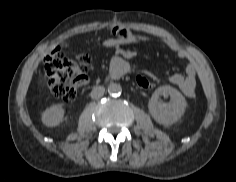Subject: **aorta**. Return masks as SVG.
Segmentation results:
<instances>
[{
	"label": "aorta",
	"mask_w": 236,
	"mask_h": 182,
	"mask_svg": "<svg viewBox=\"0 0 236 182\" xmlns=\"http://www.w3.org/2000/svg\"><path fill=\"white\" fill-rule=\"evenodd\" d=\"M108 92H109V94L112 95V96H117V95H120V94H121L122 88H121L120 84L111 83V84L108 86Z\"/></svg>",
	"instance_id": "762f6f07"
}]
</instances>
